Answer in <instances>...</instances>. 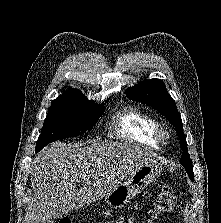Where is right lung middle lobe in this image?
<instances>
[{
	"mask_svg": "<svg viewBox=\"0 0 221 223\" xmlns=\"http://www.w3.org/2000/svg\"><path fill=\"white\" fill-rule=\"evenodd\" d=\"M103 105L104 103L98 105L94 102L52 103L35 152L55 140L84 134L104 113Z\"/></svg>",
	"mask_w": 221,
	"mask_h": 223,
	"instance_id": "dd1d6c3e",
	"label": "right lung middle lobe"
}]
</instances>
